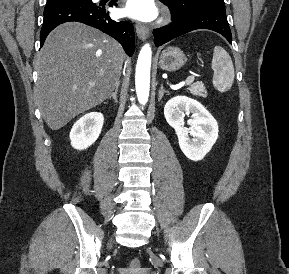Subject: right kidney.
Wrapping results in <instances>:
<instances>
[{
  "label": "right kidney",
  "mask_w": 289,
  "mask_h": 274,
  "mask_svg": "<svg viewBox=\"0 0 289 274\" xmlns=\"http://www.w3.org/2000/svg\"><path fill=\"white\" fill-rule=\"evenodd\" d=\"M104 123L100 112H90L82 116L70 131L71 146L84 150L91 146L99 137Z\"/></svg>",
  "instance_id": "right-kidney-1"
}]
</instances>
